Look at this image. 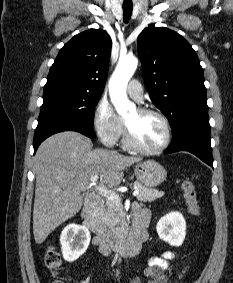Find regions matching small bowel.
<instances>
[{
    "label": "small bowel",
    "mask_w": 233,
    "mask_h": 283,
    "mask_svg": "<svg viewBox=\"0 0 233 283\" xmlns=\"http://www.w3.org/2000/svg\"><path fill=\"white\" fill-rule=\"evenodd\" d=\"M150 220V212L148 209L136 207L134 213L133 223L142 222L147 226ZM95 243L99 246L100 251L104 255H108L110 252H104L101 249L98 239H95ZM176 257L175 252L164 251L158 256H153L149 259L148 267L145 269V275L150 277L149 283H169V279L165 274V270L169 266V262ZM133 283H141L138 278L134 279Z\"/></svg>",
    "instance_id": "obj_1"
}]
</instances>
